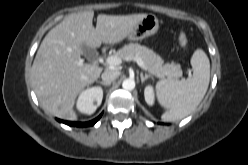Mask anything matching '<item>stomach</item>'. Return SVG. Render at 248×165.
Returning <instances> with one entry per match:
<instances>
[{"mask_svg": "<svg viewBox=\"0 0 248 165\" xmlns=\"http://www.w3.org/2000/svg\"><path fill=\"white\" fill-rule=\"evenodd\" d=\"M159 29L158 18L153 14H147L128 36L130 40L138 41L155 34Z\"/></svg>", "mask_w": 248, "mask_h": 165, "instance_id": "1", "label": "stomach"}]
</instances>
